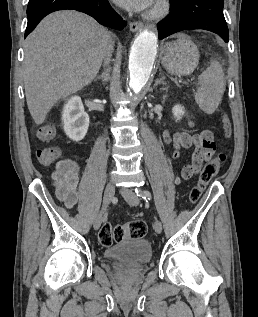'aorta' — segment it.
Instances as JSON below:
<instances>
[{
	"label": "aorta",
	"mask_w": 258,
	"mask_h": 317,
	"mask_svg": "<svg viewBox=\"0 0 258 317\" xmlns=\"http://www.w3.org/2000/svg\"><path fill=\"white\" fill-rule=\"evenodd\" d=\"M157 36L148 29L135 38L129 56L130 88L139 93L151 75L157 54Z\"/></svg>",
	"instance_id": "aorta-1"
}]
</instances>
